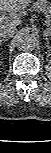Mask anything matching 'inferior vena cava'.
<instances>
[{
	"instance_id": "602c4592",
	"label": "inferior vena cava",
	"mask_w": 51,
	"mask_h": 153,
	"mask_svg": "<svg viewBox=\"0 0 51 153\" xmlns=\"http://www.w3.org/2000/svg\"><path fill=\"white\" fill-rule=\"evenodd\" d=\"M17 32L16 25L14 24H1L0 26V37L1 38H12Z\"/></svg>"
}]
</instances>
